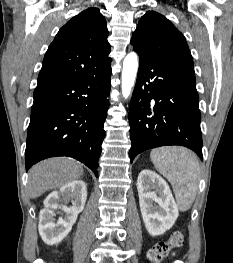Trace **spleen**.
Wrapping results in <instances>:
<instances>
[{"label":"spleen","mask_w":233,"mask_h":263,"mask_svg":"<svg viewBox=\"0 0 233 263\" xmlns=\"http://www.w3.org/2000/svg\"><path fill=\"white\" fill-rule=\"evenodd\" d=\"M150 158L156 170L171 183L178 208L190 209L200 177L197 156L187 148L172 146L153 149Z\"/></svg>","instance_id":"spleen-1"}]
</instances>
